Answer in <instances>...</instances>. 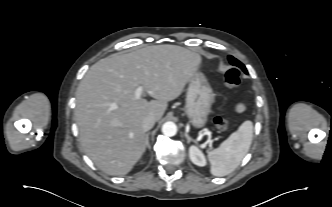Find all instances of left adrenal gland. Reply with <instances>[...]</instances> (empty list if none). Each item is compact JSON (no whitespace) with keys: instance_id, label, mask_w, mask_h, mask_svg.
I'll return each instance as SVG.
<instances>
[{"instance_id":"obj_1","label":"left adrenal gland","mask_w":332,"mask_h":207,"mask_svg":"<svg viewBox=\"0 0 332 207\" xmlns=\"http://www.w3.org/2000/svg\"><path fill=\"white\" fill-rule=\"evenodd\" d=\"M185 137H186L188 143L193 141V139L187 133H185Z\"/></svg>"}]
</instances>
